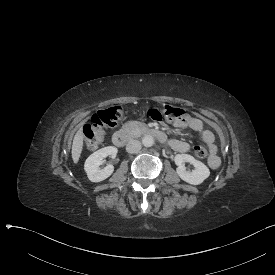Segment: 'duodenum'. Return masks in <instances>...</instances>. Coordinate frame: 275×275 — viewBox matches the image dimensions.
<instances>
[{"label": "duodenum", "mask_w": 275, "mask_h": 275, "mask_svg": "<svg viewBox=\"0 0 275 275\" xmlns=\"http://www.w3.org/2000/svg\"><path fill=\"white\" fill-rule=\"evenodd\" d=\"M143 133L155 137L160 142H165L167 136L164 132L156 128H146L143 130ZM133 135L125 130H119L114 133L112 141L118 147L125 146L129 141H131Z\"/></svg>", "instance_id": "410a0bca"}]
</instances>
